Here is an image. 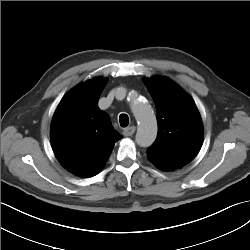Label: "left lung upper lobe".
Instances as JSON below:
<instances>
[{
  "label": "left lung upper lobe",
  "mask_w": 250,
  "mask_h": 250,
  "mask_svg": "<svg viewBox=\"0 0 250 250\" xmlns=\"http://www.w3.org/2000/svg\"><path fill=\"white\" fill-rule=\"evenodd\" d=\"M157 109L158 135L147 152L192 160L203 141V126L191 97L174 82L160 76L144 80Z\"/></svg>",
  "instance_id": "5c2ea615"
}]
</instances>
